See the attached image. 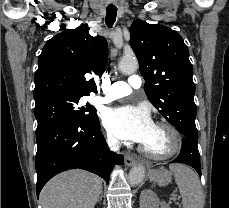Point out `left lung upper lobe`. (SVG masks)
<instances>
[{
    "instance_id": "5c2ea615",
    "label": "left lung upper lobe",
    "mask_w": 229,
    "mask_h": 208,
    "mask_svg": "<svg viewBox=\"0 0 229 208\" xmlns=\"http://www.w3.org/2000/svg\"><path fill=\"white\" fill-rule=\"evenodd\" d=\"M130 35L148 100L183 136L187 129L197 130L193 69L180 34L138 19L132 23Z\"/></svg>"
}]
</instances>
